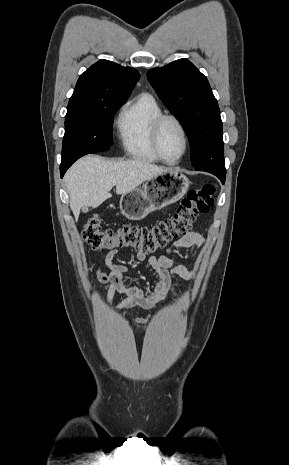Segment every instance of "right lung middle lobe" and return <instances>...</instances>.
<instances>
[{
	"mask_svg": "<svg viewBox=\"0 0 289 465\" xmlns=\"http://www.w3.org/2000/svg\"><path fill=\"white\" fill-rule=\"evenodd\" d=\"M125 102L115 100L91 109L88 114L66 116L62 161L106 151L113 142L112 116Z\"/></svg>",
	"mask_w": 289,
	"mask_h": 465,
	"instance_id": "1",
	"label": "right lung middle lobe"
}]
</instances>
